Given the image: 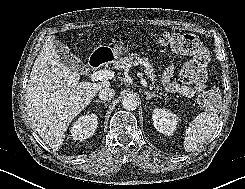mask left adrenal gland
<instances>
[{
  "mask_svg": "<svg viewBox=\"0 0 245 189\" xmlns=\"http://www.w3.org/2000/svg\"><path fill=\"white\" fill-rule=\"evenodd\" d=\"M144 95H146V100H150L152 97H157V98H161V96H159L156 93H150L147 91H143Z\"/></svg>",
  "mask_w": 245,
  "mask_h": 189,
  "instance_id": "left-adrenal-gland-1",
  "label": "left adrenal gland"
}]
</instances>
